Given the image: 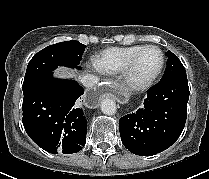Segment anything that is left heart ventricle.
I'll return each instance as SVG.
<instances>
[{
    "mask_svg": "<svg viewBox=\"0 0 209 179\" xmlns=\"http://www.w3.org/2000/svg\"><path fill=\"white\" fill-rule=\"evenodd\" d=\"M161 55L155 48L146 50L138 59L134 69V77L142 80L152 76L159 68Z\"/></svg>",
    "mask_w": 209,
    "mask_h": 179,
    "instance_id": "1",
    "label": "left heart ventricle"
}]
</instances>
